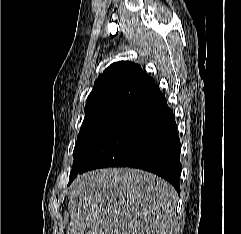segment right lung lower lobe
<instances>
[{
    "instance_id": "1",
    "label": "right lung lower lobe",
    "mask_w": 241,
    "mask_h": 234,
    "mask_svg": "<svg viewBox=\"0 0 241 234\" xmlns=\"http://www.w3.org/2000/svg\"><path fill=\"white\" fill-rule=\"evenodd\" d=\"M134 167L169 181L180 194V140L160 90L139 103L90 153L81 171Z\"/></svg>"
}]
</instances>
